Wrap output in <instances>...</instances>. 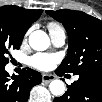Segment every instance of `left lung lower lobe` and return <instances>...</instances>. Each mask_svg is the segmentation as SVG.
<instances>
[{"instance_id":"left-lung-lower-lobe-1","label":"left lung lower lobe","mask_w":102,"mask_h":102,"mask_svg":"<svg viewBox=\"0 0 102 102\" xmlns=\"http://www.w3.org/2000/svg\"><path fill=\"white\" fill-rule=\"evenodd\" d=\"M57 74H62L56 71ZM61 97L54 102H101L102 101V76L95 74H81L79 79Z\"/></svg>"}]
</instances>
